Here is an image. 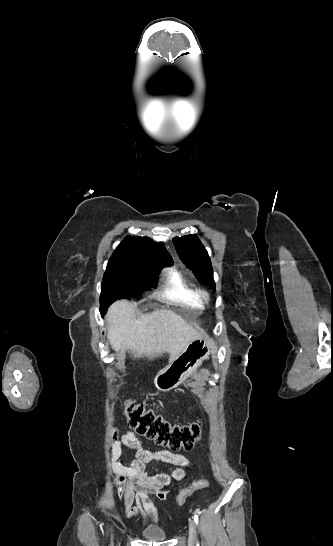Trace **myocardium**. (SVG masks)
Listing matches in <instances>:
<instances>
[{
    "mask_svg": "<svg viewBox=\"0 0 333 546\" xmlns=\"http://www.w3.org/2000/svg\"><path fill=\"white\" fill-rule=\"evenodd\" d=\"M200 292H201V295H202L203 299L208 300V298H209L208 292L205 291V290H200Z\"/></svg>",
    "mask_w": 333,
    "mask_h": 546,
    "instance_id": "obj_1",
    "label": "myocardium"
}]
</instances>
